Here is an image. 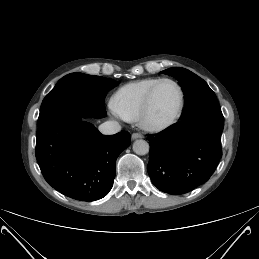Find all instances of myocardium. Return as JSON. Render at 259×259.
Returning a JSON list of instances; mask_svg holds the SVG:
<instances>
[{
  "instance_id": "obj_1",
  "label": "myocardium",
  "mask_w": 259,
  "mask_h": 259,
  "mask_svg": "<svg viewBox=\"0 0 259 259\" xmlns=\"http://www.w3.org/2000/svg\"><path fill=\"white\" fill-rule=\"evenodd\" d=\"M164 82L172 83L179 93V104L175 114L167 121L162 123H153L150 121L149 116L152 108L153 97L158 86ZM185 106V95L181 85L172 78L159 79L148 91L143 107L141 109L138 121L140 126L149 132H161L172 127L181 117Z\"/></svg>"
}]
</instances>
